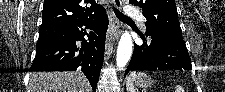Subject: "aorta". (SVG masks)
Here are the masks:
<instances>
[{
	"label": "aorta",
	"mask_w": 225,
	"mask_h": 92,
	"mask_svg": "<svg viewBox=\"0 0 225 92\" xmlns=\"http://www.w3.org/2000/svg\"><path fill=\"white\" fill-rule=\"evenodd\" d=\"M133 51V43L131 35L128 32H125L121 35L117 56H116V64L117 67L123 68L129 62Z\"/></svg>",
	"instance_id": "obj_1"
}]
</instances>
